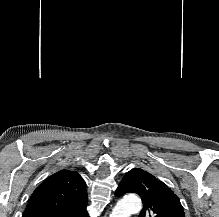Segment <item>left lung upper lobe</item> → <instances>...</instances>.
I'll return each mask as SVG.
<instances>
[{"label": "left lung upper lobe", "instance_id": "left-lung-upper-lobe-1", "mask_svg": "<svg viewBox=\"0 0 219 217\" xmlns=\"http://www.w3.org/2000/svg\"><path fill=\"white\" fill-rule=\"evenodd\" d=\"M138 194L144 208L139 217H185L179 198L165 183L150 173L133 168L123 177L115 195Z\"/></svg>", "mask_w": 219, "mask_h": 217}]
</instances>
